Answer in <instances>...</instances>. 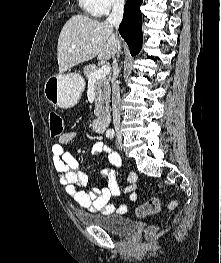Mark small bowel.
<instances>
[{
  "label": "small bowel",
  "mask_w": 221,
  "mask_h": 263,
  "mask_svg": "<svg viewBox=\"0 0 221 263\" xmlns=\"http://www.w3.org/2000/svg\"><path fill=\"white\" fill-rule=\"evenodd\" d=\"M77 135V131L66 132L51 144L53 165L58 173L60 185L84 210L101 212L103 214L125 213L127 210L126 205L123 203H112L111 199L120 196L123 192L129 194L131 202H136L138 199L135 192L137 175L134 172L127 173V186L122 191L115 171L104 169L102 171L103 186L101 188H93L90 192H85L81 188L87 184L88 177L86 173L78 169L77 159L71 153L65 151L63 147L65 144L72 142ZM92 153L98 157L107 155L108 162L115 167H120L122 164L119 154L109 150L101 142L93 144Z\"/></svg>",
  "instance_id": "obj_1"
}]
</instances>
